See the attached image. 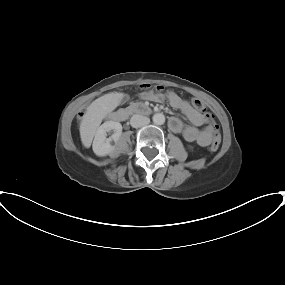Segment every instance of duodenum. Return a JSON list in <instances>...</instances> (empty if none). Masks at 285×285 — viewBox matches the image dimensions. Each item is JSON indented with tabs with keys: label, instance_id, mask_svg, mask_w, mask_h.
<instances>
[{
	"label": "duodenum",
	"instance_id": "1",
	"mask_svg": "<svg viewBox=\"0 0 285 285\" xmlns=\"http://www.w3.org/2000/svg\"><path fill=\"white\" fill-rule=\"evenodd\" d=\"M150 109L144 105L133 106L127 111H122L114 114V120L123 121L128 115L131 114H148Z\"/></svg>",
	"mask_w": 285,
	"mask_h": 285
}]
</instances>
